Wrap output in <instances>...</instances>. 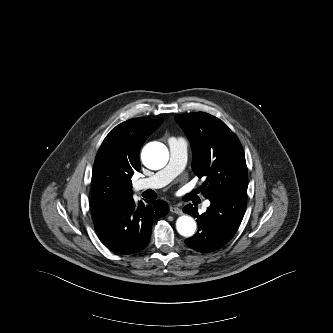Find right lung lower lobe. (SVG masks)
<instances>
[{
	"label": "right lung lower lobe",
	"instance_id": "obj_1",
	"mask_svg": "<svg viewBox=\"0 0 333 333\" xmlns=\"http://www.w3.org/2000/svg\"><path fill=\"white\" fill-rule=\"evenodd\" d=\"M168 211V204L162 200L136 204L131 198L113 208L93 210L95 231L110 250L120 254L136 253L147 246L153 222Z\"/></svg>",
	"mask_w": 333,
	"mask_h": 333
}]
</instances>
